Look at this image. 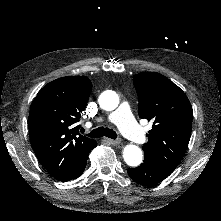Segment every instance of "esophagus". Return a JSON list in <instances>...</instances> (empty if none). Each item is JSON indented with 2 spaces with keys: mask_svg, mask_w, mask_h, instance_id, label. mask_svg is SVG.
I'll list each match as a JSON object with an SVG mask.
<instances>
[{
  "mask_svg": "<svg viewBox=\"0 0 221 221\" xmlns=\"http://www.w3.org/2000/svg\"><path fill=\"white\" fill-rule=\"evenodd\" d=\"M104 140L106 142H108L109 144H111V145H118V144H120V142L117 141V140H112V139H109V138H104Z\"/></svg>",
  "mask_w": 221,
  "mask_h": 221,
  "instance_id": "34e87169",
  "label": "esophagus"
}]
</instances>
